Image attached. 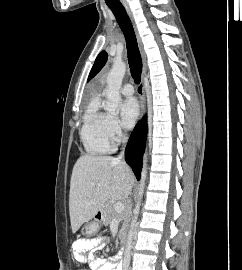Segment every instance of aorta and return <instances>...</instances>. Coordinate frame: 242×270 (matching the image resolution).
<instances>
[{
    "label": "aorta",
    "instance_id": "762f6f07",
    "mask_svg": "<svg viewBox=\"0 0 242 270\" xmlns=\"http://www.w3.org/2000/svg\"><path fill=\"white\" fill-rule=\"evenodd\" d=\"M125 72H126V65L123 62H116L114 63L111 71L109 72L107 76V90H106L107 102L104 105V109L110 114L117 113L118 105L121 101V96H120L119 91L122 85V80L125 75ZM146 177H147V155L144 154L143 168H142L141 180L139 184L138 201L133 210V218H132L130 229L127 236V244H126V249H125V256L127 258L130 257V252L133 245V239L136 234L138 214L140 211L141 199L144 193Z\"/></svg>",
    "mask_w": 242,
    "mask_h": 270
}]
</instances>
